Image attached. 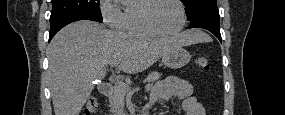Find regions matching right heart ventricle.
Masks as SVG:
<instances>
[{
	"mask_svg": "<svg viewBox=\"0 0 285 115\" xmlns=\"http://www.w3.org/2000/svg\"><path fill=\"white\" fill-rule=\"evenodd\" d=\"M146 1L147 0H138L136 3L129 4L125 7L120 22V29L137 37L148 38L154 36L146 29L141 18V9Z\"/></svg>",
	"mask_w": 285,
	"mask_h": 115,
	"instance_id": "right-heart-ventricle-1",
	"label": "right heart ventricle"
}]
</instances>
